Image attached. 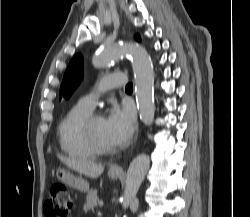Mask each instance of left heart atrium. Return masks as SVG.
I'll use <instances>...</instances> for the list:
<instances>
[{
  "label": "left heart atrium",
  "instance_id": "obj_1",
  "mask_svg": "<svg viewBox=\"0 0 250 217\" xmlns=\"http://www.w3.org/2000/svg\"><path fill=\"white\" fill-rule=\"evenodd\" d=\"M109 135L116 145H123L132 137L136 119L134 110L125 105L114 104L106 118Z\"/></svg>",
  "mask_w": 250,
  "mask_h": 217
}]
</instances>
